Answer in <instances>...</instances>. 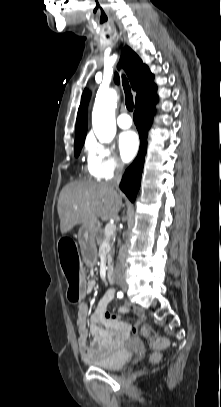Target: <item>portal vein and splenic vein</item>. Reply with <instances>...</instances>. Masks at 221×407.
<instances>
[{
    "label": "portal vein and splenic vein",
    "mask_w": 221,
    "mask_h": 407,
    "mask_svg": "<svg viewBox=\"0 0 221 407\" xmlns=\"http://www.w3.org/2000/svg\"><path fill=\"white\" fill-rule=\"evenodd\" d=\"M76 208V207H75ZM116 229V225L114 223H109L105 226V235L112 234Z\"/></svg>",
    "instance_id": "1"
}]
</instances>
